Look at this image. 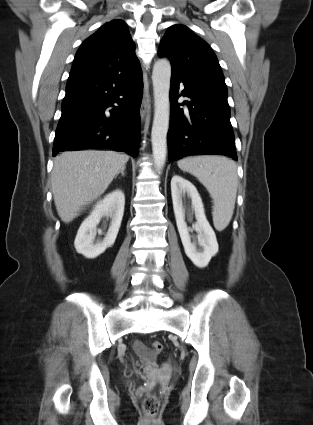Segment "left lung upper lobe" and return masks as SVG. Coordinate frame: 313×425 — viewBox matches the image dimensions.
<instances>
[{
	"label": "left lung upper lobe",
	"mask_w": 313,
	"mask_h": 425,
	"mask_svg": "<svg viewBox=\"0 0 313 425\" xmlns=\"http://www.w3.org/2000/svg\"><path fill=\"white\" fill-rule=\"evenodd\" d=\"M158 55L170 59L172 75L199 87L227 92L215 53L185 25L176 24L169 27L162 39Z\"/></svg>",
	"instance_id": "obj_1"
}]
</instances>
